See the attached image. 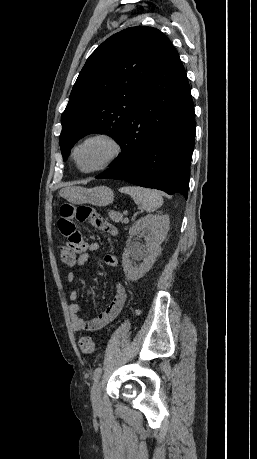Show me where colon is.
Listing matches in <instances>:
<instances>
[{
  "label": "colon",
  "instance_id": "5ec220e1",
  "mask_svg": "<svg viewBox=\"0 0 257 459\" xmlns=\"http://www.w3.org/2000/svg\"><path fill=\"white\" fill-rule=\"evenodd\" d=\"M66 205V204H65ZM66 237V236H65ZM68 242L60 247V259L65 265H73L76 261L74 251H69ZM79 348L84 354H92L95 351V342L90 336H83L79 339Z\"/></svg>",
  "mask_w": 257,
  "mask_h": 459
}]
</instances>
